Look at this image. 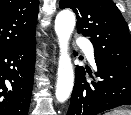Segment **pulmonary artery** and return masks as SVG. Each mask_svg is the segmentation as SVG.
<instances>
[{
  "label": "pulmonary artery",
  "instance_id": "1",
  "mask_svg": "<svg viewBox=\"0 0 131 115\" xmlns=\"http://www.w3.org/2000/svg\"><path fill=\"white\" fill-rule=\"evenodd\" d=\"M76 44L79 45L82 48V50L85 52L89 62L95 65L94 49L93 46L90 44V42L87 39L80 38Z\"/></svg>",
  "mask_w": 131,
  "mask_h": 115
}]
</instances>
